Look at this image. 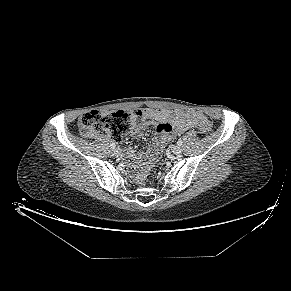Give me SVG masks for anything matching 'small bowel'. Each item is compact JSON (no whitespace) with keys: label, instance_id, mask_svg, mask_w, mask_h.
I'll list each match as a JSON object with an SVG mask.
<instances>
[{"label":"small bowel","instance_id":"1","mask_svg":"<svg viewBox=\"0 0 291 291\" xmlns=\"http://www.w3.org/2000/svg\"><path fill=\"white\" fill-rule=\"evenodd\" d=\"M142 113L143 126L154 125L157 139L151 142L145 153L137 155L133 150H129L128 155L133 161L142 163L145 170L159 156L163 146L172 139L175 133L187 131L203 119V116L191 111L147 108ZM136 135L140 136V131Z\"/></svg>","mask_w":291,"mask_h":291}]
</instances>
